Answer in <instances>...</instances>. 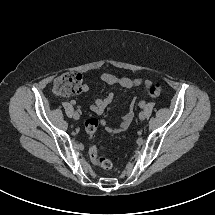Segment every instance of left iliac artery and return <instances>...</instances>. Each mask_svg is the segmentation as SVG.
Listing matches in <instances>:
<instances>
[{"label":"left iliac artery","mask_w":215,"mask_h":215,"mask_svg":"<svg viewBox=\"0 0 215 215\" xmlns=\"http://www.w3.org/2000/svg\"><path fill=\"white\" fill-rule=\"evenodd\" d=\"M143 107H144V103H141V104H140V108H143Z\"/></svg>","instance_id":"left-iliac-artery-1"}]
</instances>
